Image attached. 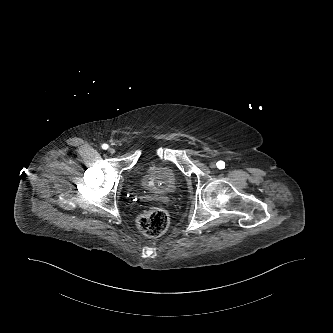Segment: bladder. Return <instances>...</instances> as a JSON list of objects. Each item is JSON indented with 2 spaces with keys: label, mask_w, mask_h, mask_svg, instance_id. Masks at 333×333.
<instances>
[{
  "label": "bladder",
  "mask_w": 333,
  "mask_h": 333,
  "mask_svg": "<svg viewBox=\"0 0 333 333\" xmlns=\"http://www.w3.org/2000/svg\"><path fill=\"white\" fill-rule=\"evenodd\" d=\"M140 183L148 192L156 195L175 193L182 180L178 171L163 162H154L139 169Z\"/></svg>",
  "instance_id": "bladder-1"
}]
</instances>
